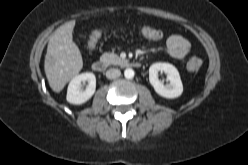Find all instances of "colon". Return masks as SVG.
Listing matches in <instances>:
<instances>
[{
    "instance_id": "colon-1",
    "label": "colon",
    "mask_w": 248,
    "mask_h": 165,
    "mask_svg": "<svg viewBox=\"0 0 248 165\" xmlns=\"http://www.w3.org/2000/svg\"><path fill=\"white\" fill-rule=\"evenodd\" d=\"M102 34L103 31L101 30L93 32L91 36L90 45L93 46L98 41V39ZM144 34L154 40H158L162 38V32L154 28H146L144 30ZM201 66H202V60L198 57H192L187 62V69L189 71H197L201 68Z\"/></svg>"
}]
</instances>
